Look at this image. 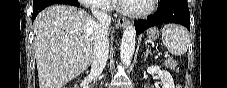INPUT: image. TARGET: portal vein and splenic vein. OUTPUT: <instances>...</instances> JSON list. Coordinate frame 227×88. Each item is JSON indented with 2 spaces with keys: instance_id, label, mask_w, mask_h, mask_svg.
I'll list each match as a JSON object with an SVG mask.
<instances>
[{
  "instance_id": "obj_1",
  "label": "portal vein and splenic vein",
  "mask_w": 227,
  "mask_h": 88,
  "mask_svg": "<svg viewBox=\"0 0 227 88\" xmlns=\"http://www.w3.org/2000/svg\"><path fill=\"white\" fill-rule=\"evenodd\" d=\"M163 57H167V55H163ZM71 61H73V60H71Z\"/></svg>"
}]
</instances>
